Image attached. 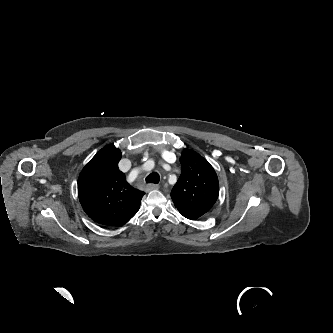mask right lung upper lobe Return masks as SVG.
Here are the masks:
<instances>
[{"mask_svg":"<svg viewBox=\"0 0 333 333\" xmlns=\"http://www.w3.org/2000/svg\"><path fill=\"white\" fill-rule=\"evenodd\" d=\"M121 151L113 145L102 148L83 168L78 196L85 213L106 226H122L139 210L144 195L132 188L118 168Z\"/></svg>","mask_w":333,"mask_h":333,"instance_id":"right-lung-upper-lobe-1","label":"right lung upper lobe"}]
</instances>
